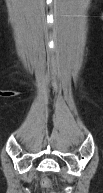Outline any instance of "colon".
Segmentation results:
<instances>
[{
  "label": "colon",
  "mask_w": 103,
  "mask_h": 193,
  "mask_svg": "<svg viewBox=\"0 0 103 193\" xmlns=\"http://www.w3.org/2000/svg\"><path fill=\"white\" fill-rule=\"evenodd\" d=\"M42 182H43L44 186H49L50 185V180L48 178H44Z\"/></svg>",
  "instance_id": "1"
}]
</instances>
